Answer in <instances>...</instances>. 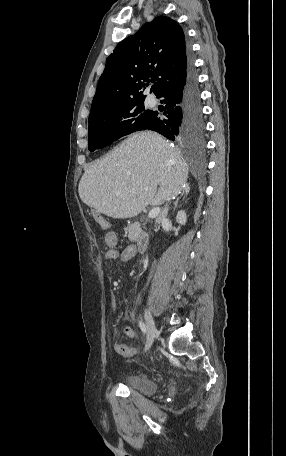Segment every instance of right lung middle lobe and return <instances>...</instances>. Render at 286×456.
<instances>
[{"label":"right lung middle lobe","instance_id":"1","mask_svg":"<svg viewBox=\"0 0 286 456\" xmlns=\"http://www.w3.org/2000/svg\"><path fill=\"white\" fill-rule=\"evenodd\" d=\"M154 111L146 110L143 101L109 108L89 121L88 148L90 151L107 146L119 138L138 130H145ZM202 125L192 124L186 127L188 134L200 138ZM190 138L181 139L185 141Z\"/></svg>","mask_w":286,"mask_h":456}]
</instances>
